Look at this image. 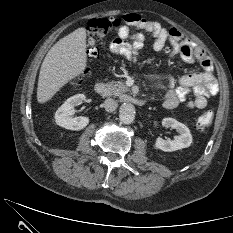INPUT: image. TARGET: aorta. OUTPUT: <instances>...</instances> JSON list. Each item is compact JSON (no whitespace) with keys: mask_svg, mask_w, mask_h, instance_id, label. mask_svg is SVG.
I'll return each mask as SVG.
<instances>
[{"mask_svg":"<svg viewBox=\"0 0 233 233\" xmlns=\"http://www.w3.org/2000/svg\"><path fill=\"white\" fill-rule=\"evenodd\" d=\"M119 119L124 124H130L135 119V107L131 103H123L119 109Z\"/></svg>","mask_w":233,"mask_h":233,"instance_id":"762f6f07","label":"aorta"}]
</instances>
